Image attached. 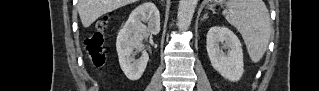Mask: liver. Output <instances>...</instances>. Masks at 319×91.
Listing matches in <instances>:
<instances>
[{
  "label": "liver",
  "instance_id": "liver-1",
  "mask_svg": "<svg viewBox=\"0 0 319 91\" xmlns=\"http://www.w3.org/2000/svg\"><path fill=\"white\" fill-rule=\"evenodd\" d=\"M133 2L135 0H79L77 8L80 20L87 28L102 15Z\"/></svg>",
  "mask_w": 319,
  "mask_h": 91
}]
</instances>
